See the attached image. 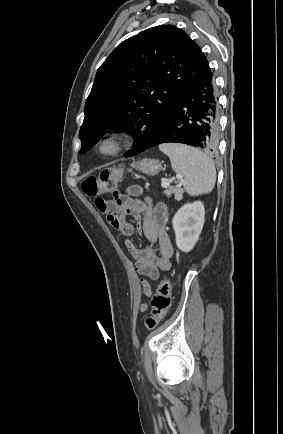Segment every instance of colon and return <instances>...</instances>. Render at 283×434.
<instances>
[{
	"instance_id": "5ec220e1",
	"label": "colon",
	"mask_w": 283,
	"mask_h": 434,
	"mask_svg": "<svg viewBox=\"0 0 283 434\" xmlns=\"http://www.w3.org/2000/svg\"><path fill=\"white\" fill-rule=\"evenodd\" d=\"M122 176V171L116 168H107L96 175H90L82 181V191L90 197L110 191ZM171 304V284L168 277H164L152 297L151 314L146 318L145 325L151 330L166 316Z\"/></svg>"
}]
</instances>
